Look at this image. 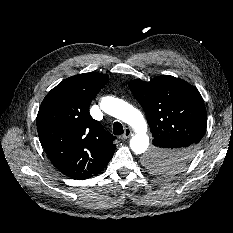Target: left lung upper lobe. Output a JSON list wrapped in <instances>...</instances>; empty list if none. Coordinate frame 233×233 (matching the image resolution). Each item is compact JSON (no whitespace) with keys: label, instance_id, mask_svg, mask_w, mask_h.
Wrapping results in <instances>:
<instances>
[{"label":"left lung upper lobe","instance_id":"obj_1","mask_svg":"<svg viewBox=\"0 0 233 233\" xmlns=\"http://www.w3.org/2000/svg\"><path fill=\"white\" fill-rule=\"evenodd\" d=\"M129 88L145 111L153 138L163 135H178L192 144L193 156L198 150L206 127L207 116L204 101L199 91L182 79L162 75L150 82L135 79ZM145 156L144 164L159 173H174L189 162H168L171 153L155 144Z\"/></svg>","mask_w":233,"mask_h":233}]
</instances>
